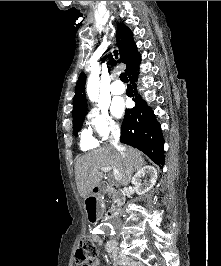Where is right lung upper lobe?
Returning a JSON list of instances; mask_svg holds the SVG:
<instances>
[{
    "label": "right lung upper lobe",
    "instance_id": "obj_1",
    "mask_svg": "<svg viewBox=\"0 0 221 266\" xmlns=\"http://www.w3.org/2000/svg\"><path fill=\"white\" fill-rule=\"evenodd\" d=\"M117 46L120 50L119 62L125 63L127 68L125 72L129 74L132 69L140 63L141 57L133 40L131 30L123 23L117 25ZM110 64L114 65L115 61L110 55ZM86 75L81 73L75 87V96L73 99V117L87 111L85 96Z\"/></svg>",
    "mask_w": 221,
    "mask_h": 266
}]
</instances>
